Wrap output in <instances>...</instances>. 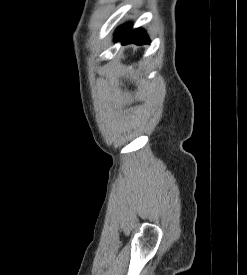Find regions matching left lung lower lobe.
<instances>
[{"label":"left lung lower lobe","mask_w":247,"mask_h":275,"mask_svg":"<svg viewBox=\"0 0 247 275\" xmlns=\"http://www.w3.org/2000/svg\"><path fill=\"white\" fill-rule=\"evenodd\" d=\"M115 41H121L123 45L125 44H137L143 45L149 41L146 33L141 29L131 30V25L126 24L118 28L116 32Z\"/></svg>","instance_id":"left-lung-lower-lobe-1"}]
</instances>
